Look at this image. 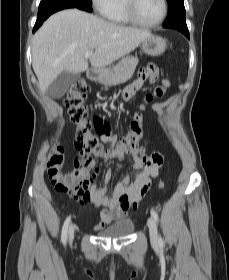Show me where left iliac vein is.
I'll use <instances>...</instances> for the list:
<instances>
[{"instance_id": "left-iliac-vein-1", "label": "left iliac vein", "mask_w": 229, "mask_h": 280, "mask_svg": "<svg viewBox=\"0 0 229 280\" xmlns=\"http://www.w3.org/2000/svg\"><path fill=\"white\" fill-rule=\"evenodd\" d=\"M150 239L153 244L158 242L157 225L153 217L148 218Z\"/></svg>"}]
</instances>
